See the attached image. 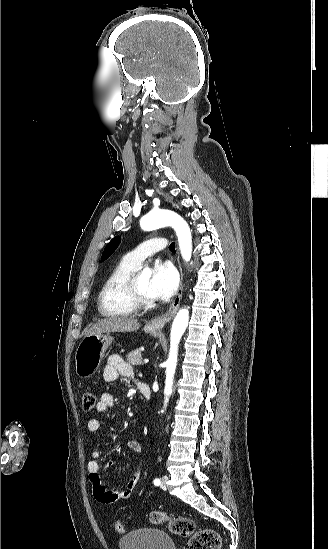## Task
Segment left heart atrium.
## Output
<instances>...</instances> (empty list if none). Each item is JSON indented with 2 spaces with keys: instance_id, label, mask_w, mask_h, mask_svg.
I'll use <instances>...</instances> for the list:
<instances>
[{
  "instance_id": "obj_1",
  "label": "left heart atrium",
  "mask_w": 328,
  "mask_h": 549,
  "mask_svg": "<svg viewBox=\"0 0 328 549\" xmlns=\"http://www.w3.org/2000/svg\"><path fill=\"white\" fill-rule=\"evenodd\" d=\"M178 286L179 276L171 263L162 262L152 269L149 285L151 299L167 300L176 293Z\"/></svg>"
}]
</instances>
